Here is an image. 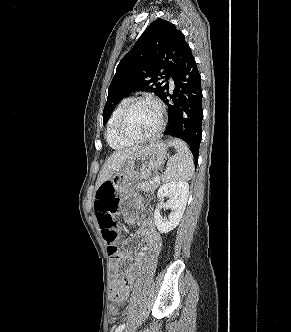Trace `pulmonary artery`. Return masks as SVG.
I'll use <instances>...</instances> for the list:
<instances>
[{"mask_svg":"<svg viewBox=\"0 0 291 332\" xmlns=\"http://www.w3.org/2000/svg\"><path fill=\"white\" fill-rule=\"evenodd\" d=\"M169 83H170V86H171V87H174V82H173L172 79H169Z\"/></svg>","mask_w":291,"mask_h":332,"instance_id":"1","label":"pulmonary artery"}]
</instances>
